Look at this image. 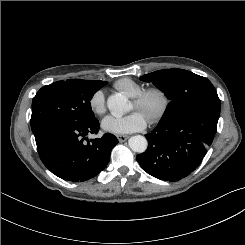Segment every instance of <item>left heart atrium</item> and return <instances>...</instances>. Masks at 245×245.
<instances>
[{
	"mask_svg": "<svg viewBox=\"0 0 245 245\" xmlns=\"http://www.w3.org/2000/svg\"><path fill=\"white\" fill-rule=\"evenodd\" d=\"M146 126L145 117L138 111L126 116H107L102 121V128L112 134L122 135L144 129Z\"/></svg>",
	"mask_w": 245,
	"mask_h": 245,
	"instance_id": "left-heart-atrium-1",
	"label": "left heart atrium"
}]
</instances>
